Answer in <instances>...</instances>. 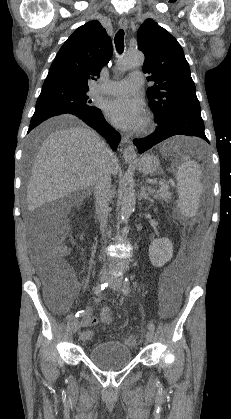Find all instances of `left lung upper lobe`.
<instances>
[{"instance_id": "5c2ea615", "label": "left lung upper lobe", "mask_w": 231, "mask_h": 419, "mask_svg": "<svg viewBox=\"0 0 231 419\" xmlns=\"http://www.w3.org/2000/svg\"><path fill=\"white\" fill-rule=\"evenodd\" d=\"M138 48L145 54L143 72L154 85L147 89L150 107L159 120L180 112L200 111L189 64L178 41L154 20L138 30Z\"/></svg>"}]
</instances>
